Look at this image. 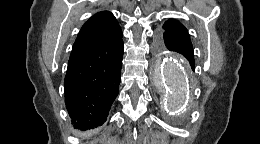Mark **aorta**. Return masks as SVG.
Masks as SVG:
<instances>
[{
    "mask_svg": "<svg viewBox=\"0 0 260 144\" xmlns=\"http://www.w3.org/2000/svg\"><path fill=\"white\" fill-rule=\"evenodd\" d=\"M186 69V63L175 55L165 56L155 65L156 84L166 91V106L171 111L186 104L189 95Z\"/></svg>",
    "mask_w": 260,
    "mask_h": 144,
    "instance_id": "aorta-1",
    "label": "aorta"
}]
</instances>
